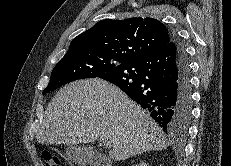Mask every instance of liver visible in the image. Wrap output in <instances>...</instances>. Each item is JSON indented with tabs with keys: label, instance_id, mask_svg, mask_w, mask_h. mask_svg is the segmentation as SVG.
<instances>
[{
	"label": "liver",
	"instance_id": "obj_1",
	"mask_svg": "<svg viewBox=\"0 0 231 166\" xmlns=\"http://www.w3.org/2000/svg\"><path fill=\"white\" fill-rule=\"evenodd\" d=\"M99 138L110 140L109 157L115 161L168 146L162 129L148 112L99 78L62 87L49 103L36 135L39 143L69 146Z\"/></svg>",
	"mask_w": 231,
	"mask_h": 166
}]
</instances>
